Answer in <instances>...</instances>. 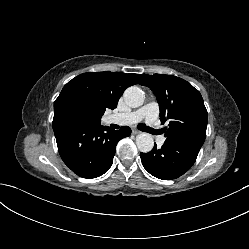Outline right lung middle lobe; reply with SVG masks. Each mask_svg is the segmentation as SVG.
Instances as JSON below:
<instances>
[{"label": "right lung middle lobe", "instance_id": "obj_1", "mask_svg": "<svg viewBox=\"0 0 249 249\" xmlns=\"http://www.w3.org/2000/svg\"><path fill=\"white\" fill-rule=\"evenodd\" d=\"M54 120L87 125L89 122V107L79 98L63 99L56 107Z\"/></svg>", "mask_w": 249, "mask_h": 249}]
</instances>
